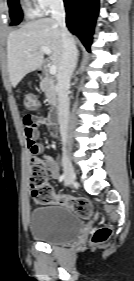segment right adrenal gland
I'll return each mask as SVG.
<instances>
[{
  "instance_id": "obj_1",
  "label": "right adrenal gland",
  "mask_w": 134,
  "mask_h": 281,
  "mask_svg": "<svg viewBox=\"0 0 134 281\" xmlns=\"http://www.w3.org/2000/svg\"><path fill=\"white\" fill-rule=\"evenodd\" d=\"M78 57H79V51H77V57H76V64H75V68L77 67Z\"/></svg>"
}]
</instances>
